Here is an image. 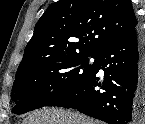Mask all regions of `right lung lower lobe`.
<instances>
[{
  "label": "right lung lower lobe",
  "instance_id": "98d812e1",
  "mask_svg": "<svg viewBox=\"0 0 145 124\" xmlns=\"http://www.w3.org/2000/svg\"><path fill=\"white\" fill-rule=\"evenodd\" d=\"M104 70V78L97 75ZM45 106L73 108L109 124H136L145 108V36L137 25L104 46L91 74Z\"/></svg>",
  "mask_w": 145,
  "mask_h": 124
}]
</instances>
